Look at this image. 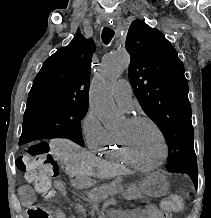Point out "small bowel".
Masks as SVG:
<instances>
[{"label":"small bowel","mask_w":211,"mask_h":218,"mask_svg":"<svg viewBox=\"0 0 211 218\" xmlns=\"http://www.w3.org/2000/svg\"><path fill=\"white\" fill-rule=\"evenodd\" d=\"M54 188L61 196H65L66 189L62 181L56 180L54 182ZM19 194L25 204L29 205L34 202V192L29 186L21 187ZM79 210H81V208H79ZM54 214L55 218H68L67 214L62 209H56ZM138 218H171V215L167 211L149 205L138 209Z\"/></svg>","instance_id":"1"}]
</instances>
